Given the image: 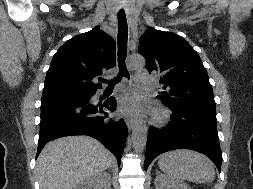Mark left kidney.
Listing matches in <instances>:
<instances>
[{
  "label": "left kidney",
  "instance_id": "1",
  "mask_svg": "<svg viewBox=\"0 0 253 189\" xmlns=\"http://www.w3.org/2000/svg\"><path fill=\"white\" fill-rule=\"evenodd\" d=\"M156 189H191L187 183L159 174L155 179Z\"/></svg>",
  "mask_w": 253,
  "mask_h": 189
}]
</instances>
